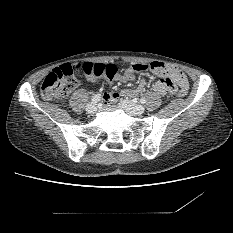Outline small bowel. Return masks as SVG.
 <instances>
[{
    "instance_id": "1",
    "label": "small bowel",
    "mask_w": 233,
    "mask_h": 233,
    "mask_svg": "<svg viewBox=\"0 0 233 233\" xmlns=\"http://www.w3.org/2000/svg\"><path fill=\"white\" fill-rule=\"evenodd\" d=\"M155 73L162 77L154 84V91L159 95H175L178 88L187 87L188 81L182 70L174 67L170 64H164L162 62L155 63ZM112 80L124 81L125 78L119 74L115 75ZM146 81L143 80L139 83V86L135 89H124L120 92L114 91L111 93H105L103 98L107 102H116L120 97H135L140 91L144 89Z\"/></svg>"
}]
</instances>
